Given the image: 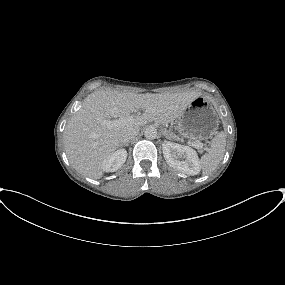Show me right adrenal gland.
Returning a JSON list of instances; mask_svg holds the SVG:
<instances>
[{
	"label": "right adrenal gland",
	"mask_w": 285,
	"mask_h": 285,
	"mask_svg": "<svg viewBox=\"0 0 285 285\" xmlns=\"http://www.w3.org/2000/svg\"><path fill=\"white\" fill-rule=\"evenodd\" d=\"M119 146H120V147H123V146H124V147H128L129 144H128V143H127V144H120Z\"/></svg>",
	"instance_id": "2a0ac1e0"
}]
</instances>
